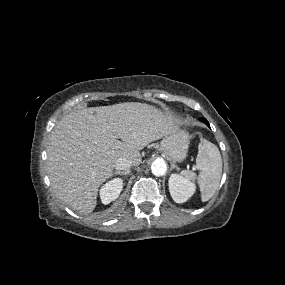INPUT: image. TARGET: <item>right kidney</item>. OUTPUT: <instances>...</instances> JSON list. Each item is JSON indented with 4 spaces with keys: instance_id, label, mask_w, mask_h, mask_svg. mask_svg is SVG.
I'll return each mask as SVG.
<instances>
[{
    "instance_id": "1",
    "label": "right kidney",
    "mask_w": 285,
    "mask_h": 285,
    "mask_svg": "<svg viewBox=\"0 0 285 285\" xmlns=\"http://www.w3.org/2000/svg\"><path fill=\"white\" fill-rule=\"evenodd\" d=\"M123 188V180L115 178L108 181L100 189V198L103 204H109L118 198Z\"/></svg>"
}]
</instances>
